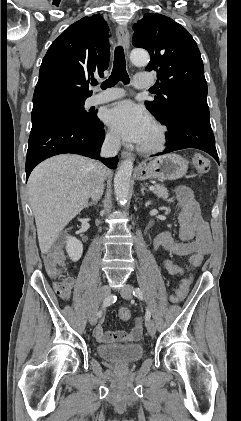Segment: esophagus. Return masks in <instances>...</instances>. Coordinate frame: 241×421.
I'll list each match as a JSON object with an SVG mask.
<instances>
[{
  "mask_svg": "<svg viewBox=\"0 0 241 421\" xmlns=\"http://www.w3.org/2000/svg\"><path fill=\"white\" fill-rule=\"evenodd\" d=\"M116 35H117L119 43L124 47L125 53L128 55L129 44H130V36H129L128 29L124 26H118L116 28ZM121 157L123 159H134L133 154L127 151H122Z\"/></svg>",
  "mask_w": 241,
  "mask_h": 421,
  "instance_id": "esophagus-1",
  "label": "esophagus"
}]
</instances>
